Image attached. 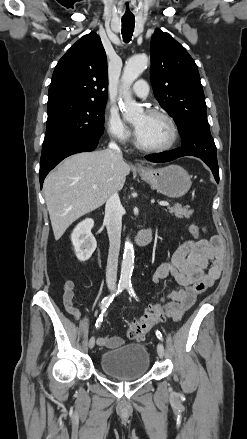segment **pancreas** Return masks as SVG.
Segmentation results:
<instances>
[{"instance_id":"pancreas-1","label":"pancreas","mask_w":247,"mask_h":439,"mask_svg":"<svg viewBox=\"0 0 247 439\" xmlns=\"http://www.w3.org/2000/svg\"><path fill=\"white\" fill-rule=\"evenodd\" d=\"M169 213L173 214L176 218H190L193 211L189 210V206L182 207L180 204H175L173 207H168Z\"/></svg>"}]
</instances>
